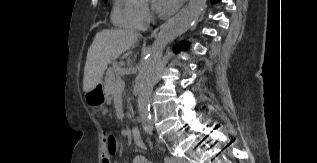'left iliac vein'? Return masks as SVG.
<instances>
[{"instance_id":"4c4485c4","label":"left iliac vein","mask_w":317,"mask_h":163,"mask_svg":"<svg viewBox=\"0 0 317 163\" xmlns=\"http://www.w3.org/2000/svg\"><path fill=\"white\" fill-rule=\"evenodd\" d=\"M170 163H182V162H179L177 161L176 159H171L170 160ZM183 163H188L187 161L183 162Z\"/></svg>"}]
</instances>
